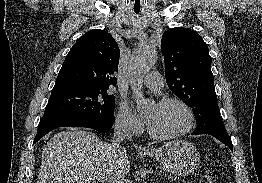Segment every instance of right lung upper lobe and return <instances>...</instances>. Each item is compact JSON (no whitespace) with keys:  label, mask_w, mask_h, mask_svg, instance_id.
<instances>
[{"label":"right lung upper lobe","mask_w":262,"mask_h":183,"mask_svg":"<svg viewBox=\"0 0 262 183\" xmlns=\"http://www.w3.org/2000/svg\"><path fill=\"white\" fill-rule=\"evenodd\" d=\"M120 50L113 37L94 29L81 36L59 71L52 92L116 85Z\"/></svg>","instance_id":"right-lung-upper-lobe-1"}]
</instances>
